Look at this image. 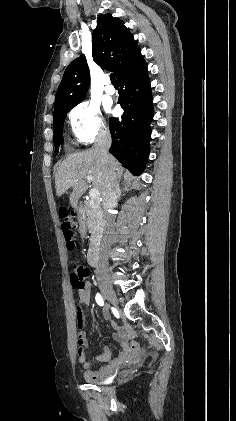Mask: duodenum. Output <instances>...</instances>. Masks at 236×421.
I'll use <instances>...</instances> for the list:
<instances>
[{
	"mask_svg": "<svg viewBox=\"0 0 236 421\" xmlns=\"http://www.w3.org/2000/svg\"><path fill=\"white\" fill-rule=\"evenodd\" d=\"M88 260L91 266L93 267H97L98 263H99V254H98V250L96 247H91L89 252H88ZM122 345L124 346V348L126 349L127 346L126 344L123 342ZM127 358V352L124 351L123 353H121L114 361L111 362V364L107 367H104L98 371H89V377L90 379H95V378H100V377H104V376H108L110 374H112L115 369L121 364L123 363ZM98 359L100 361H107L109 360V357L104 353L102 355H100L98 357Z\"/></svg>",
	"mask_w": 236,
	"mask_h": 421,
	"instance_id": "duodenum-1",
	"label": "duodenum"
}]
</instances>
